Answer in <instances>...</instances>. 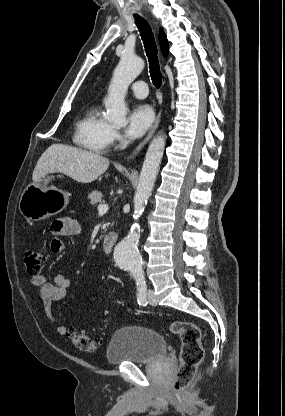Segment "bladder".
<instances>
[{
	"mask_svg": "<svg viewBox=\"0 0 285 416\" xmlns=\"http://www.w3.org/2000/svg\"><path fill=\"white\" fill-rule=\"evenodd\" d=\"M163 355H167L164 336L147 326L131 324L114 332L106 357L110 363H153Z\"/></svg>",
	"mask_w": 285,
	"mask_h": 416,
	"instance_id": "1",
	"label": "bladder"
}]
</instances>
